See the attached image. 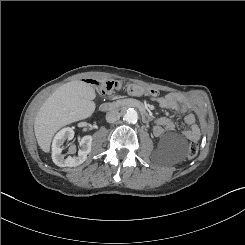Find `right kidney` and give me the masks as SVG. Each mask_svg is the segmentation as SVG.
<instances>
[{"instance_id": "1", "label": "right kidney", "mask_w": 245, "mask_h": 245, "mask_svg": "<svg viewBox=\"0 0 245 245\" xmlns=\"http://www.w3.org/2000/svg\"><path fill=\"white\" fill-rule=\"evenodd\" d=\"M74 137V131L72 128L67 127L60 130L54 137L52 143V159L53 162L59 167H75L82 164L87 155L91 152L92 136L86 135L82 137L79 141L81 149L78 151L77 157H67L62 154L64 149L63 144L65 140H71ZM76 148L74 146L70 147V153H75Z\"/></svg>"}]
</instances>
